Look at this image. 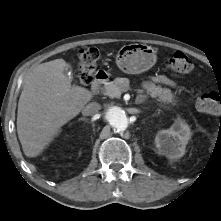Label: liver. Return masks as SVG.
Listing matches in <instances>:
<instances>
[{
    "mask_svg": "<svg viewBox=\"0 0 221 221\" xmlns=\"http://www.w3.org/2000/svg\"><path fill=\"white\" fill-rule=\"evenodd\" d=\"M63 59L42 63L27 74L18 102L17 133L23 152L36 157L92 99L84 87L71 86Z\"/></svg>",
    "mask_w": 221,
    "mask_h": 221,
    "instance_id": "liver-1",
    "label": "liver"
}]
</instances>
